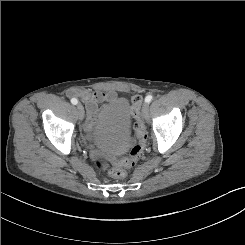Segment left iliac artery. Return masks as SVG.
I'll return each mask as SVG.
<instances>
[{
  "instance_id": "obj_1",
  "label": "left iliac artery",
  "mask_w": 245,
  "mask_h": 245,
  "mask_svg": "<svg viewBox=\"0 0 245 245\" xmlns=\"http://www.w3.org/2000/svg\"><path fill=\"white\" fill-rule=\"evenodd\" d=\"M152 99H153V96L152 95L146 96L145 103H150L152 101Z\"/></svg>"
}]
</instances>
